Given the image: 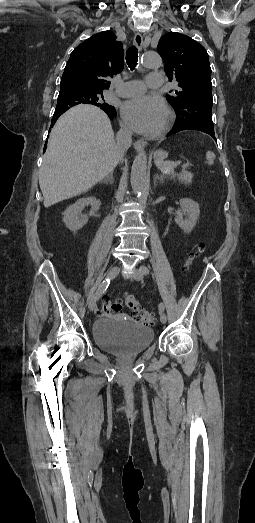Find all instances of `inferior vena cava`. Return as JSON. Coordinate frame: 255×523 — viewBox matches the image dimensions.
Returning a JSON list of instances; mask_svg holds the SVG:
<instances>
[{
    "label": "inferior vena cava",
    "instance_id": "602c4592",
    "mask_svg": "<svg viewBox=\"0 0 255 523\" xmlns=\"http://www.w3.org/2000/svg\"><path fill=\"white\" fill-rule=\"evenodd\" d=\"M132 134L133 132H130L126 126H121V130H119L116 136V150H118L120 154V160L123 154H125L126 150H128L132 144Z\"/></svg>",
    "mask_w": 255,
    "mask_h": 523
}]
</instances>
